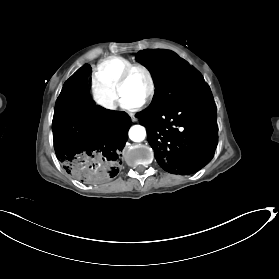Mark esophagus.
<instances>
[{
	"mask_svg": "<svg viewBox=\"0 0 279 279\" xmlns=\"http://www.w3.org/2000/svg\"><path fill=\"white\" fill-rule=\"evenodd\" d=\"M129 115H130V117H131V120H132L133 122H135V121H136L135 115H134L133 113H130Z\"/></svg>",
	"mask_w": 279,
	"mask_h": 279,
	"instance_id": "obj_1",
	"label": "esophagus"
}]
</instances>
